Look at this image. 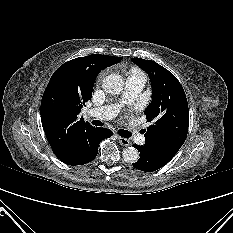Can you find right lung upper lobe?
Segmentation results:
<instances>
[{"instance_id":"obj_1","label":"right lung upper lobe","mask_w":233,"mask_h":233,"mask_svg":"<svg viewBox=\"0 0 233 233\" xmlns=\"http://www.w3.org/2000/svg\"><path fill=\"white\" fill-rule=\"evenodd\" d=\"M122 57L92 54L61 65L52 75L41 101V122L55 155L70 154L85 132L93 128L78 114L91 99L100 71Z\"/></svg>"}]
</instances>
